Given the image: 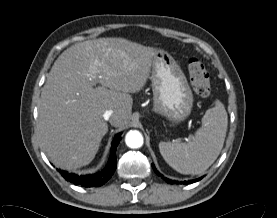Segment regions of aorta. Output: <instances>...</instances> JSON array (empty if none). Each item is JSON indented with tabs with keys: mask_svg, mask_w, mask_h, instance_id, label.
I'll return each mask as SVG.
<instances>
[{
	"mask_svg": "<svg viewBox=\"0 0 277 218\" xmlns=\"http://www.w3.org/2000/svg\"><path fill=\"white\" fill-rule=\"evenodd\" d=\"M126 145L130 148H140L143 145V136L137 130H131L125 137Z\"/></svg>",
	"mask_w": 277,
	"mask_h": 218,
	"instance_id": "1",
	"label": "aorta"
}]
</instances>
